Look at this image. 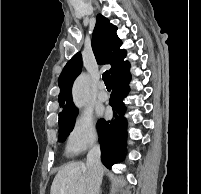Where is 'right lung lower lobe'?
Here are the masks:
<instances>
[{"mask_svg":"<svg viewBox=\"0 0 201 194\" xmlns=\"http://www.w3.org/2000/svg\"><path fill=\"white\" fill-rule=\"evenodd\" d=\"M131 79L129 67L112 78L113 91L109 105L113 107L114 119L105 121L101 119L97 124L99 143L101 146V160L107 168L124 158L126 143V119L118 116L125 111L122 99L128 94Z\"/></svg>","mask_w":201,"mask_h":194,"instance_id":"1","label":"right lung lower lobe"}]
</instances>
